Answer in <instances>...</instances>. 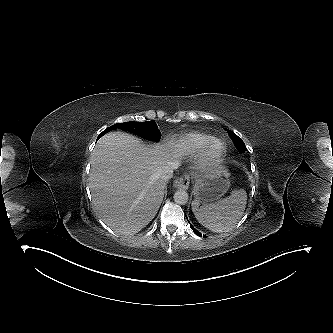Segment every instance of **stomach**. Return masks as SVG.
<instances>
[{
    "label": "stomach",
    "instance_id": "stomach-1",
    "mask_svg": "<svg viewBox=\"0 0 333 333\" xmlns=\"http://www.w3.org/2000/svg\"><path fill=\"white\" fill-rule=\"evenodd\" d=\"M228 177L229 173L222 168L203 174L193 189L195 201L205 204L220 199L230 186Z\"/></svg>",
    "mask_w": 333,
    "mask_h": 333
}]
</instances>
